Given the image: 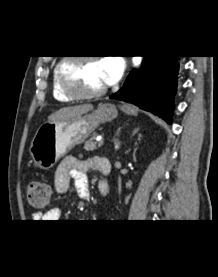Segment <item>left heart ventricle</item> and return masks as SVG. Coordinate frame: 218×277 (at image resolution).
Returning <instances> with one entry per match:
<instances>
[{"mask_svg": "<svg viewBox=\"0 0 218 277\" xmlns=\"http://www.w3.org/2000/svg\"><path fill=\"white\" fill-rule=\"evenodd\" d=\"M67 71L81 91L91 92L106 85L99 61L72 63Z\"/></svg>", "mask_w": 218, "mask_h": 277, "instance_id": "obj_1", "label": "left heart ventricle"}]
</instances>
